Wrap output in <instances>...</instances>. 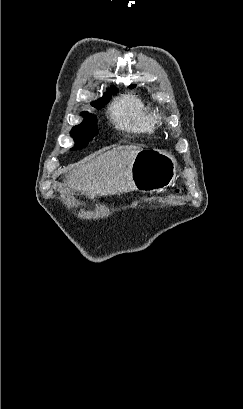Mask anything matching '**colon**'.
Listing matches in <instances>:
<instances>
[{
  "instance_id": "1",
  "label": "colon",
  "mask_w": 243,
  "mask_h": 409,
  "mask_svg": "<svg viewBox=\"0 0 243 409\" xmlns=\"http://www.w3.org/2000/svg\"><path fill=\"white\" fill-rule=\"evenodd\" d=\"M176 193H179V189H176Z\"/></svg>"
}]
</instances>
